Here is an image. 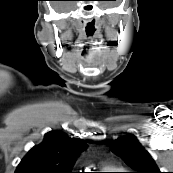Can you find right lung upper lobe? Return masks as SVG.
Listing matches in <instances>:
<instances>
[{"mask_svg":"<svg viewBox=\"0 0 173 173\" xmlns=\"http://www.w3.org/2000/svg\"><path fill=\"white\" fill-rule=\"evenodd\" d=\"M86 147L82 140L70 138L60 131L45 134L17 166L15 173H72L75 158Z\"/></svg>","mask_w":173,"mask_h":173,"instance_id":"obj_1","label":"right lung upper lobe"}]
</instances>
